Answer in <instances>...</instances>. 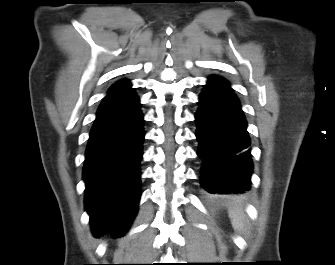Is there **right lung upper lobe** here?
Returning a JSON list of instances; mask_svg holds the SVG:
<instances>
[{
  "label": "right lung upper lobe",
  "instance_id": "obj_1",
  "mask_svg": "<svg viewBox=\"0 0 335 265\" xmlns=\"http://www.w3.org/2000/svg\"><path fill=\"white\" fill-rule=\"evenodd\" d=\"M131 84L127 80H120L116 82L109 90L108 94H113V93H118V92H123V91H128L131 90Z\"/></svg>",
  "mask_w": 335,
  "mask_h": 265
}]
</instances>
